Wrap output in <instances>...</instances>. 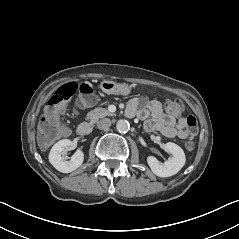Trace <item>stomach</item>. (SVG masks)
I'll use <instances>...</instances> for the list:
<instances>
[{"label":"stomach","instance_id":"0dacf381","mask_svg":"<svg viewBox=\"0 0 239 239\" xmlns=\"http://www.w3.org/2000/svg\"><path fill=\"white\" fill-rule=\"evenodd\" d=\"M98 88L101 92L107 95H117V96H129L132 93V86L123 82L119 83L112 80H102L100 81Z\"/></svg>","mask_w":239,"mask_h":239}]
</instances>
